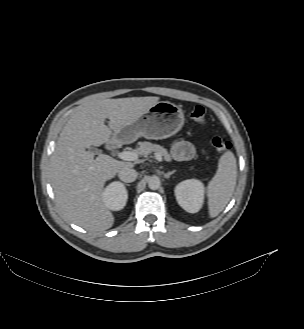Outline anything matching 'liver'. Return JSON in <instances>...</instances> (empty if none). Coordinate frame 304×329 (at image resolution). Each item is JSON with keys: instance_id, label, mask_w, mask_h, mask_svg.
I'll use <instances>...</instances> for the list:
<instances>
[{"instance_id": "liver-1", "label": "liver", "mask_w": 304, "mask_h": 329, "mask_svg": "<svg viewBox=\"0 0 304 329\" xmlns=\"http://www.w3.org/2000/svg\"><path fill=\"white\" fill-rule=\"evenodd\" d=\"M159 97L93 100L80 106L59 135L51 158L50 180L57 204L71 222L91 232L112 227L113 214L102 194L105 182L133 163L86 151L111 142L113 132L133 122ZM109 119V124H104Z\"/></svg>"}]
</instances>
